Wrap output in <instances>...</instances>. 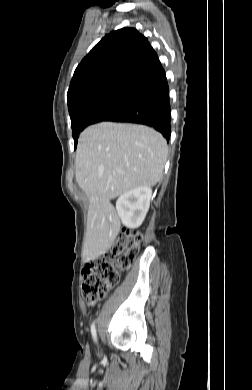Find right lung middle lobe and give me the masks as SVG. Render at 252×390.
Segmentation results:
<instances>
[{"instance_id": "dd1d6c3e", "label": "right lung middle lobe", "mask_w": 252, "mask_h": 390, "mask_svg": "<svg viewBox=\"0 0 252 390\" xmlns=\"http://www.w3.org/2000/svg\"><path fill=\"white\" fill-rule=\"evenodd\" d=\"M134 100L135 98L125 96L101 97L72 110L69 114L75 147L79 134L85 127L107 120L115 113L128 107Z\"/></svg>"}]
</instances>
